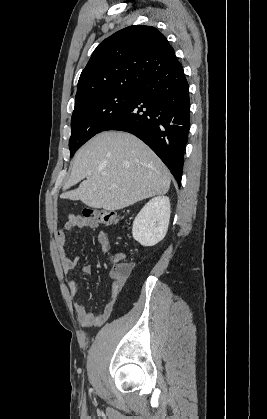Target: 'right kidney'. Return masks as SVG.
Instances as JSON below:
<instances>
[{"instance_id": "obj_1", "label": "right kidney", "mask_w": 267, "mask_h": 419, "mask_svg": "<svg viewBox=\"0 0 267 419\" xmlns=\"http://www.w3.org/2000/svg\"><path fill=\"white\" fill-rule=\"evenodd\" d=\"M170 213L168 197L152 198L133 222V238L143 246H153L160 242L167 233Z\"/></svg>"}]
</instances>
